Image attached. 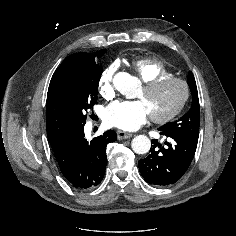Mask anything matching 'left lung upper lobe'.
<instances>
[{
    "instance_id": "obj_1",
    "label": "left lung upper lobe",
    "mask_w": 236,
    "mask_h": 236,
    "mask_svg": "<svg viewBox=\"0 0 236 236\" xmlns=\"http://www.w3.org/2000/svg\"><path fill=\"white\" fill-rule=\"evenodd\" d=\"M187 81L192 94L191 108L179 120L167 123L160 127V129L172 133L185 135L192 139L198 140L200 125V108L197 86L192 72H189Z\"/></svg>"
}]
</instances>
